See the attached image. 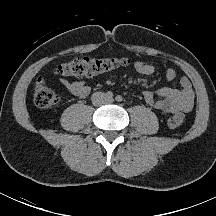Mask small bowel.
<instances>
[{"instance_id": "c3829d8e", "label": "small bowel", "mask_w": 216, "mask_h": 216, "mask_svg": "<svg viewBox=\"0 0 216 216\" xmlns=\"http://www.w3.org/2000/svg\"><path fill=\"white\" fill-rule=\"evenodd\" d=\"M134 67L139 74L145 76L155 72V67L144 61H136ZM176 77L174 69L169 68L165 71V78L168 82H174ZM61 83L70 93L78 97L84 98L90 93V87L83 81L70 82L62 79ZM143 98L151 107L164 113L189 112L194 106V91L187 77L180 79V89L166 86L155 92L144 91Z\"/></svg>"}]
</instances>
